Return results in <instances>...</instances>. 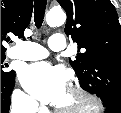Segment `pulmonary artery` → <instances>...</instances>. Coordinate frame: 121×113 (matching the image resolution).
<instances>
[{"instance_id":"1","label":"pulmonary artery","mask_w":121,"mask_h":113,"mask_svg":"<svg viewBox=\"0 0 121 113\" xmlns=\"http://www.w3.org/2000/svg\"><path fill=\"white\" fill-rule=\"evenodd\" d=\"M65 39L62 34H54L48 40L49 49L61 51L64 49ZM49 50L35 42L26 41L15 45L9 52V57L23 61H34L48 57Z\"/></svg>"}]
</instances>
